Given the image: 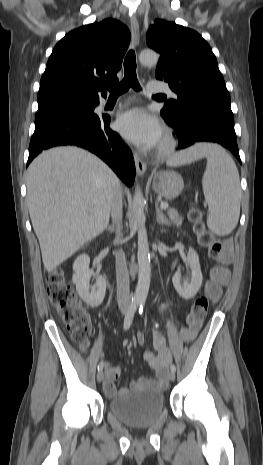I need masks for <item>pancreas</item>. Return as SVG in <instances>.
I'll list each match as a JSON object with an SVG mask.
<instances>
[{
	"label": "pancreas",
	"mask_w": 263,
	"mask_h": 465,
	"mask_svg": "<svg viewBox=\"0 0 263 465\" xmlns=\"http://www.w3.org/2000/svg\"><path fill=\"white\" fill-rule=\"evenodd\" d=\"M167 214H168V216H169V220H170L173 224H175V225H177V226H180V225L182 224V217L180 216V214H179L176 210H174V209H169V210L167 211Z\"/></svg>",
	"instance_id": "pancreas-1"
}]
</instances>
